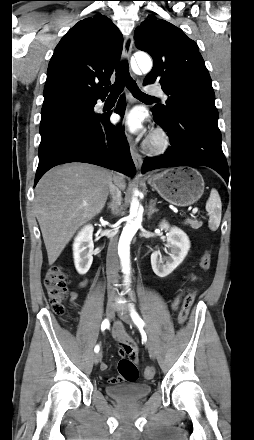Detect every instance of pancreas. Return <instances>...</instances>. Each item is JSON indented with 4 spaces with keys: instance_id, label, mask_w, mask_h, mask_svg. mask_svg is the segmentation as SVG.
I'll return each mask as SVG.
<instances>
[{
    "instance_id": "1",
    "label": "pancreas",
    "mask_w": 254,
    "mask_h": 440,
    "mask_svg": "<svg viewBox=\"0 0 254 440\" xmlns=\"http://www.w3.org/2000/svg\"><path fill=\"white\" fill-rule=\"evenodd\" d=\"M185 224L190 225L193 229H198L202 226V222L197 220H188Z\"/></svg>"
}]
</instances>
